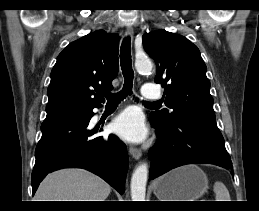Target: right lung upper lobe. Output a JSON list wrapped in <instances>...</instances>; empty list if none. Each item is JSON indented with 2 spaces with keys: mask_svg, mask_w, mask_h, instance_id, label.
<instances>
[{
  "mask_svg": "<svg viewBox=\"0 0 259 211\" xmlns=\"http://www.w3.org/2000/svg\"><path fill=\"white\" fill-rule=\"evenodd\" d=\"M118 34L97 30L70 43L58 56L47 90L45 120L84 114L104 102L118 73Z\"/></svg>",
  "mask_w": 259,
  "mask_h": 211,
  "instance_id": "obj_1",
  "label": "right lung upper lobe"
}]
</instances>
